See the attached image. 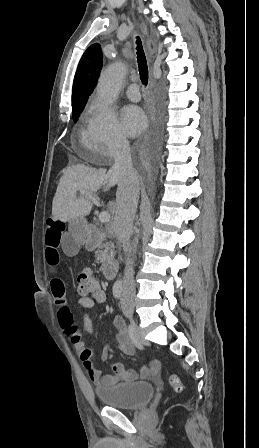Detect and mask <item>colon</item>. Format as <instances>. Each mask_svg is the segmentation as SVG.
I'll return each mask as SVG.
<instances>
[{
  "mask_svg": "<svg viewBox=\"0 0 259 448\" xmlns=\"http://www.w3.org/2000/svg\"><path fill=\"white\" fill-rule=\"evenodd\" d=\"M77 280L78 293L82 296H95L102 291L100 280L90 270L80 272ZM169 381L175 391L181 390V381L176 374H172Z\"/></svg>",
  "mask_w": 259,
  "mask_h": 448,
  "instance_id": "5ec220e1",
  "label": "colon"
}]
</instances>
